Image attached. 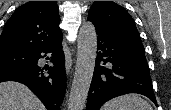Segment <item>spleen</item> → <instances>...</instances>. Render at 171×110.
<instances>
[{
	"mask_svg": "<svg viewBox=\"0 0 171 110\" xmlns=\"http://www.w3.org/2000/svg\"><path fill=\"white\" fill-rule=\"evenodd\" d=\"M101 110H153V108L139 95L126 94L108 101Z\"/></svg>",
	"mask_w": 171,
	"mask_h": 110,
	"instance_id": "3e777b00",
	"label": "spleen"
}]
</instances>
